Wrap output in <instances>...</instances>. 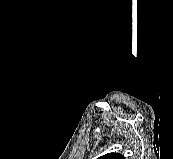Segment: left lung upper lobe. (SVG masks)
Listing matches in <instances>:
<instances>
[{"instance_id": "1", "label": "left lung upper lobe", "mask_w": 173, "mask_h": 159, "mask_svg": "<svg viewBox=\"0 0 173 159\" xmlns=\"http://www.w3.org/2000/svg\"><path fill=\"white\" fill-rule=\"evenodd\" d=\"M98 159H124V156L119 153H108L99 157Z\"/></svg>"}]
</instances>
